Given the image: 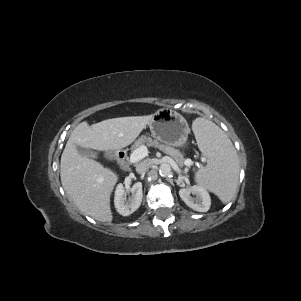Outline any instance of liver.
<instances>
[{
  "mask_svg": "<svg viewBox=\"0 0 301 301\" xmlns=\"http://www.w3.org/2000/svg\"><path fill=\"white\" fill-rule=\"evenodd\" d=\"M153 115L112 118L89 126L82 122L72 131L61 156V183L81 212L101 222L113 219L110 195L118 176L99 162L82 156L77 146L113 151L130 145Z\"/></svg>",
  "mask_w": 301,
  "mask_h": 301,
  "instance_id": "obj_1",
  "label": "liver"
}]
</instances>
